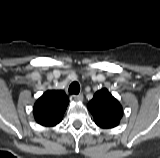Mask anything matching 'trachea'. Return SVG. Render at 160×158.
Listing matches in <instances>:
<instances>
[{"label":"trachea","mask_w":160,"mask_h":158,"mask_svg":"<svg viewBox=\"0 0 160 158\" xmlns=\"http://www.w3.org/2000/svg\"><path fill=\"white\" fill-rule=\"evenodd\" d=\"M79 92H80L79 83L78 82L71 83L69 86V93L77 95V94H79Z\"/></svg>","instance_id":"trachea-1"}]
</instances>
